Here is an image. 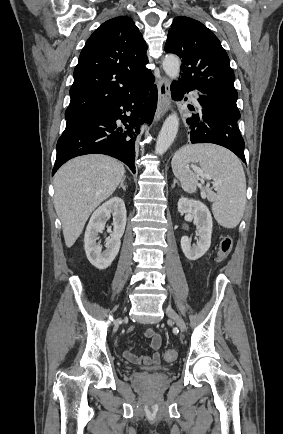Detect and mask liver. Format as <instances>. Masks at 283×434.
<instances>
[{"mask_svg":"<svg viewBox=\"0 0 283 434\" xmlns=\"http://www.w3.org/2000/svg\"><path fill=\"white\" fill-rule=\"evenodd\" d=\"M124 174L122 163L101 154L76 157L57 171L54 207L68 248L80 236L90 214L113 194Z\"/></svg>","mask_w":283,"mask_h":434,"instance_id":"obj_1","label":"liver"}]
</instances>
